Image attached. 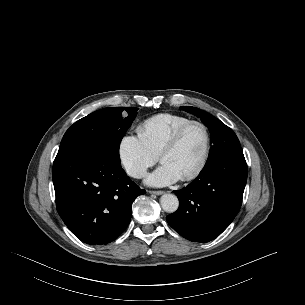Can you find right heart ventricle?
<instances>
[{
  "label": "right heart ventricle",
  "instance_id": "right-heart-ventricle-1",
  "mask_svg": "<svg viewBox=\"0 0 305 305\" xmlns=\"http://www.w3.org/2000/svg\"><path fill=\"white\" fill-rule=\"evenodd\" d=\"M189 121H191L190 118L181 115L158 114L146 119L138 126V136L148 149L157 156L173 133Z\"/></svg>",
  "mask_w": 305,
  "mask_h": 305
}]
</instances>
